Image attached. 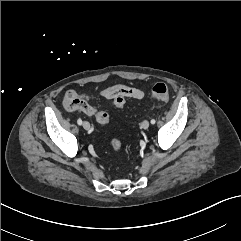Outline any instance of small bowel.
Here are the masks:
<instances>
[{
    "label": "small bowel",
    "instance_id": "1",
    "mask_svg": "<svg viewBox=\"0 0 241 241\" xmlns=\"http://www.w3.org/2000/svg\"><path fill=\"white\" fill-rule=\"evenodd\" d=\"M116 87H122L126 89V98L142 99L145 95L144 91L133 86L127 85H115L104 88L101 90L100 95L105 99H113L111 91ZM63 105L67 111H81L88 116H93L97 119L98 114L101 112L98 106L92 104V99L88 96L79 94L77 91L70 89L68 90L63 98Z\"/></svg>",
    "mask_w": 241,
    "mask_h": 241
}]
</instances>
